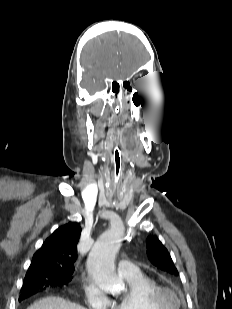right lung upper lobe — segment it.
Wrapping results in <instances>:
<instances>
[{
  "mask_svg": "<svg viewBox=\"0 0 232 309\" xmlns=\"http://www.w3.org/2000/svg\"><path fill=\"white\" fill-rule=\"evenodd\" d=\"M80 233V225L76 222H69L55 230L33 255L26 275L50 272L71 278L74 272L73 264L77 258Z\"/></svg>",
  "mask_w": 232,
  "mask_h": 309,
  "instance_id": "right-lung-upper-lobe-1",
  "label": "right lung upper lobe"
}]
</instances>
